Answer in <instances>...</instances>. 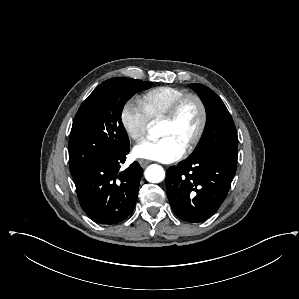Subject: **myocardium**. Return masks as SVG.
<instances>
[{"mask_svg": "<svg viewBox=\"0 0 299 299\" xmlns=\"http://www.w3.org/2000/svg\"><path fill=\"white\" fill-rule=\"evenodd\" d=\"M189 100H194L199 106L200 123L196 131V134L185 147V153H190L199 144L206 129L208 115H207L206 106L203 100L201 99V97L195 93H185L172 104L167 114L161 119L162 122H166V123L175 122L178 119L180 112L184 107L185 103L188 102Z\"/></svg>", "mask_w": 299, "mask_h": 299, "instance_id": "1", "label": "myocardium"}]
</instances>
